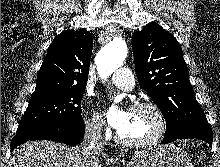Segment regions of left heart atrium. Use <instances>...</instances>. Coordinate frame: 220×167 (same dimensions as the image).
<instances>
[{
    "label": "left heart atrium",
    "mask_w": 220,
    "mask_h": 167,
    "mask_svg": "<svg viewBox=\"0 0 220 167\" xmlns=\"http://www.w3.org/2000/svg\"><path fill=\"white\" fill-rule=\"evenodd\" d=\"M131 110L126 108L110 107L107 112L108 123L118 131L122 130L126 125Z\"/></svg>",
    "instance_id": "39dd6f15"
}]
</instances>
